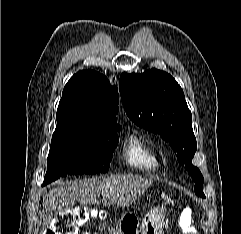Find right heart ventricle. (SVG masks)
<instances>
[{"label": "right heart ventricle", "instance_id": "1", "mask_svg": "<svg viewBox=\"0 0 241 234\" xmlns=\"http://www.w3.org/2000/svg\"><path fill=\"white\" fill-rule=\"evenodd\" d=\"M122 157L128 167L141 172H154L161 166L156 147L139 133L128 136L123 146Z\"/></svg>", "mask_w": 241, "mask_h": 234}]
</instances>
